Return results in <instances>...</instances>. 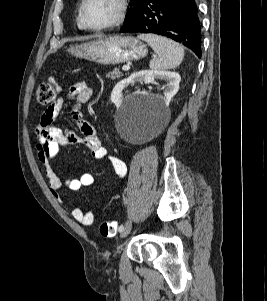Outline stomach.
<instances>
[{"mask_svg": "<svg viewBox=\"0 0 267 301\" xmlns=\"http://www.w3.org/2000/svg\"><path fill=\"white\" fill-rule=\"evenodd\" d=\"M71 55L104 65H114L139 60L147 55V47L132 36L100 38L80 45L70 46Z\"/></svg>", "mask_w": 267, "mask_h": 301, "instance_id": "1", "label": "stomach"}]
</instances>
